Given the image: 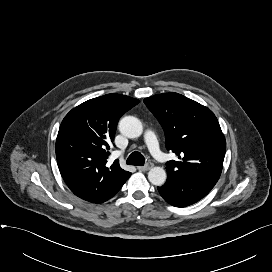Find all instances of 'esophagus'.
Listing matches in <instances>:
<instances>
[{"mask_svg":"<svg viewBox=\"0 0 272 272\" xmlns=\"http://www.w3.org/2000/svg\"><path fill=\"white\" fill-rule=\"evenodd\" d=\"M153 167V164L151 162H148L145 166L138 167L139 171L145 172L150 170Z\"/></svg>","mask_w":272,"mask_h":272,"instance_id":"obj_1","label":"esophagus"}]
</instances>
